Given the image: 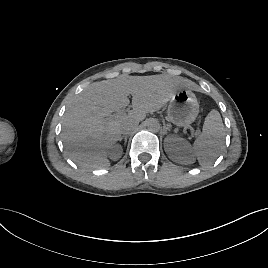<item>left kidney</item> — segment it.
Segmentation results:
<instances>
[{"instance_id":"5707ae66","label":"left kidney","mask_w":268,"mask_h":268,"mask_svg":"<svg viewBox=\"0 0 268 268\" xmlns=\"http://www.w3.org/2000/svg\"><path fill=\"white\" fill-rule=\"evenodd\" d=\"M165 151L170 159L181 164H192L195 161V156L190 144L181 137L168 136L165 139Z\"/></svg>"}]
</instances>
